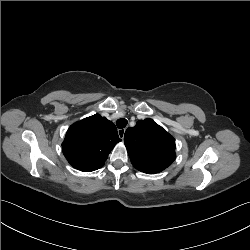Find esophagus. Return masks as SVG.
Listing matches in <instances>:
<instances>
[{
  "label": "esophagus",
  "instance_id": "esophagus-1",
  "mask_svg": "<svg viewBox=\"0 0 250 250\" xmlns=\"http://www.w3.org/2000/svg\"><path fill=\"white\" fill-rule=\"evenodd\" d=\"M118 135L121 139H123L125 135V129H118Z\"/></svg>",
  "mask_w": 250,
  "mask_h": 250
}]
</instances>
